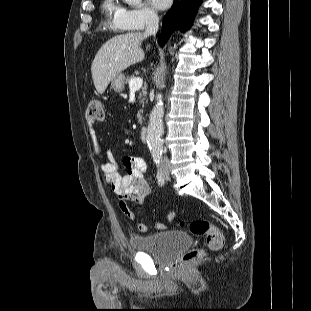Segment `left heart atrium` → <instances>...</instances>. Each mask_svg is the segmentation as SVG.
I'll return each instance as SVG.
<instances>
[{"label":"left heart atrium","mask_w":311,"mask_h":311,"mask_svg":"<svg viewBox=\"0 0 311 311\" xmlns=\"http://www.w3.org/2000/svg\"><path fill=\"white\" fill-rule=\"evenodd\" d=\"M151 4L157 9H164L169 6L171 0H150Z\"/></svg>","instance_id":"obj_1"}]
</instances>
